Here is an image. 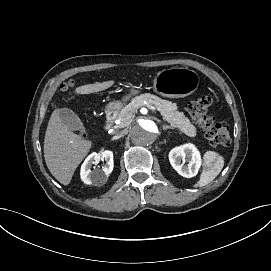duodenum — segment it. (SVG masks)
Masks as SVG:
<instances>
[{
    "label": "duodenum",
    "instance_id": "duodenum-1",
    "mask_svg": "<svg viewBox=\"0 0 271 271\" xmlns=\"http://www.w3.org/2000/svg\"><path fill=\"white\" fill-rule=\"evenodd\" d=\"M115 118H116V114L114 111H109L106 115V119H105V129L108 130L112 127L114 121H115Z\"/></svg>",
    "mask_w": 271,
    "mask_h": 271
}]
</instances>
